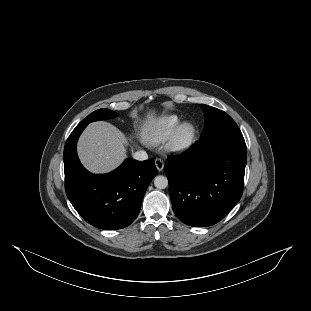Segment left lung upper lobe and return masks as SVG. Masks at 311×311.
<instances>
[{
    "mask_svg": "<svg viewBox=\"0 0 311 311\" xmlns=\"http://www.w3.org/2000/svg\"><path fill=\"white\" fill-rule=\"evenodd\" d=\"M201 108L205 117V127L201 137L222 129L239 128L234 120L224 111L204 104L201 105Z\"/></svg>",
    "mask_w": 311,
    "mask_h": 311,
    "instance_id": "5c2ea615",
    "label": "left lung upper lobe"
}]
</instances>
